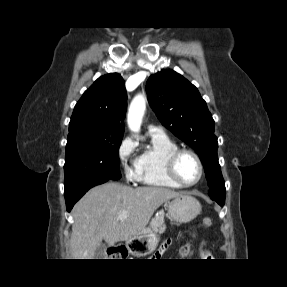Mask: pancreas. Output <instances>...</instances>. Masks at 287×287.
<instances>
[{"label":"pancreas","instance_id":"cf45deb5","mask_svg":"<svg viewBox=\"0 0 287 287\" xmlns=\"http://www.w3.org/2000/svg\"><path fill=\"white\" fill-rule=\"evenodd\" d=\"M150 228L154 231V232H163L166 229V226L164 224V216H157L155 218H152L151 222H150Z\"/></svg>","mask_w":287,"mask_h":287}]
</instances>
